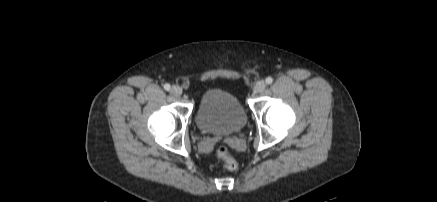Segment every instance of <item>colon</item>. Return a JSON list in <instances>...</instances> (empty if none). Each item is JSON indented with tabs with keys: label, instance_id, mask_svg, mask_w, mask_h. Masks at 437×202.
Instances as JSON below:
<instances>
[{
	"label": "colon",
	"instance_id": "5ec220e1",
	"mask_svg": "<svg viewBox=\"0 0 437 202\" xmlns=\"http://www.w3.org/2000/svg\"><path fill=\"white\" fill-rule=\"evenodd\" d=\"M216 157L229 170H235L238 167L237 160L232 156L226 146H219L216 150Z\"/></svg>",
	"mask_w": 437,
	"mask_h": 202
}]
</instances>
